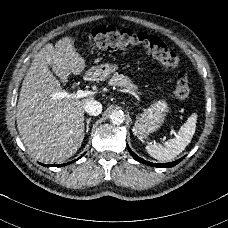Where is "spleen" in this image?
Segmentation results:
<instances>
[{"label":"spleen","instance_id":"obj_1","mask_svg":"<svg viewBox=\"0 0 228 228\" xmlns=\"http://www.w3.org/2000/svg\"><path fill=\"white\" fill-rule=\"evenodd\" d=\"M197 114H192L181 126L178 134L163 144L151 143L146 146L148 154L160 161H171L182 153L191 142L196 130Z\"/></svg>","mask_w":228,"mask_h":228}]
</instances>
